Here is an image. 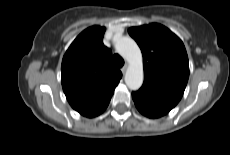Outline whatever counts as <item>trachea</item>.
<instances>
[{"instance_id": "trachea-1", "label": "trachea", "mask_w": 230, "mask_h": 155, "mask_svg": "<svg viewBox=\"0 0 230 155\" xmlns=\"http://www.w3.org/2000/svg\"><path fill=\"white\" fill-rule=\"evenodd\" d=\"M113 62L117 67H122L124 65V60L121 56H119L118 54H115L113 56Z\"/></svg>"}]
</instances>
